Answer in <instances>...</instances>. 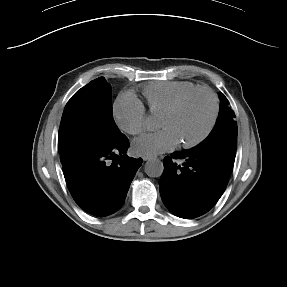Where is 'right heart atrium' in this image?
<instances>
[{"label":"right heart atrium","mask_w":287,"mask_h":287,"mask_svg":"<svg viewBox=\"0 0 287 287\" xmlns=\"http://www.w3.org/2000/svg\"><path fill=\"white\" fill-rule=\"evenodd\" d=\"M113 113L119 126L129 134L137 135L147 128V114L143 103L132 92L120 95Z\"/></svg>","instance_id":"obj_1"}]
</instances>
